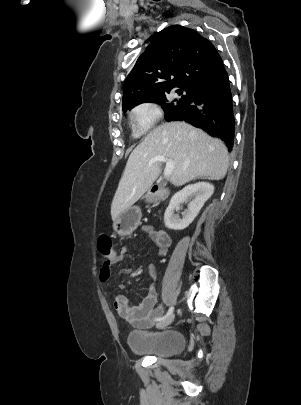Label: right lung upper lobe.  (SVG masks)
<instances>
[{"label": "right lung upper lobe", "instance_id": "right-lung-upper-lobe-1", "mask_svg": "<svg viewBox=\"0 0 301 405\" xmlns=\"http://www.w3.org/2000/svg\"><path fill=\"white\" fill-rule=\"evenodd\" d=\"M225 72L213 44L197 31L172 25L157 32L123 86V110L174 87L195 91Z\"/></svg>", "mask_w": 301, "mask_h": 405}]
</instances>
